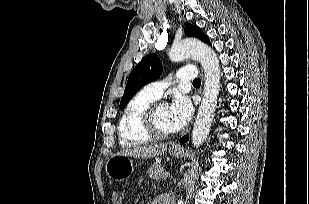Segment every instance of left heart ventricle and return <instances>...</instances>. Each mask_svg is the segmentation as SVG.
I'll use <instances>...</instances> for the list:
<instances>
[{
	"label": "left heart ventricle",
	"instance_id": "left-heart-ventricle-1",
	"mask_svg": "<svg viewBox=\"0 0 309 204\" xmlns=\"http://www.w3.org/2000/svg\"><path fill=\"white\" fill-rule=\"evenodd\" d=\"M155 120L160 130L166 132L174 131L168 105H163L157 110Z\"/></svg>",
	"mask_w": 309,
	"mask_h": 204
}]
</instances>
